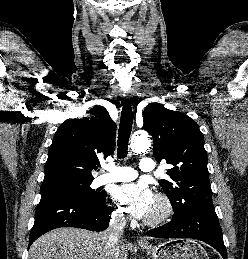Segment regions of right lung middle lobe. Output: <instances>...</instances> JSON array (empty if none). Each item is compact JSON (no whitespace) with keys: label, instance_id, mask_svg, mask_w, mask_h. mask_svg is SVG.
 Returning <instances> with one entry per match:
<instances>
[{"label":"right lung middle lobe","instance_id":"1","mask_svg":"<svg viewBox=\"0 0 248 259\" xmlns=\"http://www.w3.org/2000/svg\"><path fill=\"white\" fill-rule=\"evenodd\" d=\"M93 180L87 181H61L41 185V196L70 195L78 198L98 199L104 192H97L90 188Z\"/></svg>","mask_w":248,"mask_h":259}]
</instances>
